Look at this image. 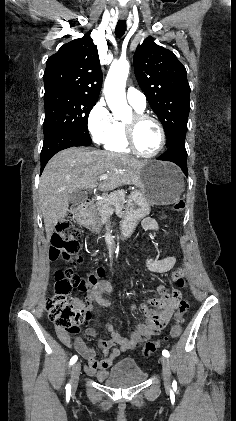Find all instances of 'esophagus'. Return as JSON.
<instances>
[{
	"label": "esophagus",
	"instance_id": "34e87169",
	"mask_svg": "<svg viewBox=\"0 0 236 421\" xmlns=\"http://www.w3.org/2000/svg\"><path fill=\"white\" fill-rule=\"evenodd\" d=\"M120 18H121V19H125V18H126V16H124V15H121V16H120Z\"/></svg>",
	"mask_w": 236,
	"mask_h": 421
}]
</instances>
